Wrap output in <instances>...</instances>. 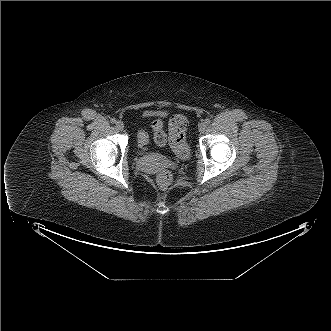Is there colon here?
<instances>
[{"label": "colon", "instance_id": "obj_1", "mask_svg": "<svg viewBox=\"0 0 331 331\" xmlns=\"http://www.w3.org/2000/svg\"><path fill=\"white\" fill-rule=\"evenodd\" d=\"M188 121L183 115H174L170 118L168 124V136L157 129L154 135L156 144L162 146L168 140L169 145L174 152L181 158H185L188 153V147L186 143V130ZM157 183L162 187H169L172 182V176L168 171H160L156 177Z\"/></svg>", "mask_w": 331, "mask_h": 331}]
</instances>
